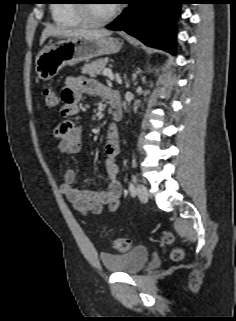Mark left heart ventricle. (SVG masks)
Listing matches in <instances>:
<instances>
[{"instance_id": "b2bd125f", "label": "left heart ventricle", "mask_w": 236, "mask_h": 321, "mask_svg": "<svg viewBox=\"0 0 236 321\" xmlns=\"http://www.w3.org/2000/svg\"><path fill=\"white\" fill-rule=\"evenodd\" d=\"M114 4L109 0H93L91 3V13L96 18L106 17L113 9Z\"/></svg>"}]
</instances>
